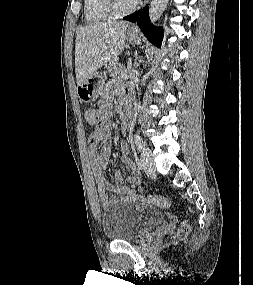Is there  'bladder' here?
Wrapping results in <instances>:
<instances>
[{"label":"bladder","mask_w":253,"mask_h":285,"mask_svg":"<svg viewBox=\"0 0 253 285\" xmlns=\"http://www.w3.org/2000/svg\"><path fill=\"white\" fill-rule=\"evenodd\" d=\"M163 211L138 202H119L102 214L104 236L112 241H134L161 224Z\"/></svg>","instance_id":"bladder-1"}]
</instances>
